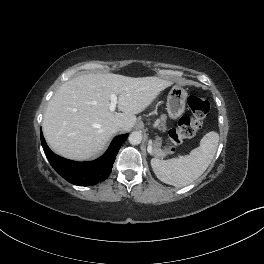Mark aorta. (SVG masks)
Segmentation results:
<instances>
[{
	"instance_id": "obj_1",
	"label": "aorta",
	"mask_w": 264,
	"mask_h": 264,
	"mask_svg": "<svg viewBox=\"0 0 264 264\" xmlns=\"http://www.w3.org/2000/svg\"><path fill=\"white\" fill-rule=\"evenodd\" d=\"M142 141V134L139 131H134L129 135V142L132 145H138Z\"/></svg>"
}]
</instances>
